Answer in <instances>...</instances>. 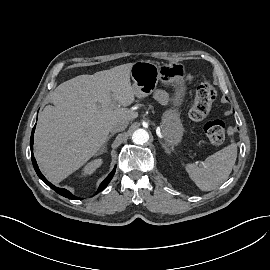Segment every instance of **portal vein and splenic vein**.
<instances>
[{"label": "portal vein and splenic vein", "instance_id": "obj_1", "mask_svg": "<svg viewBox=\"0 0 270 270\" xmlns=\"http://www.w3.org/2000/svg\"><path fill=\"white\" fill-rule=\"evenodd\" d=\"M111 106H112L113 108H117V106H118V105H117V102H116V101H113L112 104H111Z\"/></svg>", "mask_w": 270, "mask_h": 270}]
</instances>
